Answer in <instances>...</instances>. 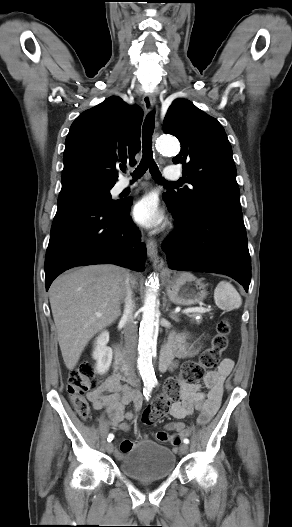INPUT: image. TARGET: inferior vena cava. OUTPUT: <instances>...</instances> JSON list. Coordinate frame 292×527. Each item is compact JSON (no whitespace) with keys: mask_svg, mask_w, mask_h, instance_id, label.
Segmentation results:
<instances>
[{"mask_svg":"<svg viewBox=\"0 0 292 527\" xmlns=\"http://www.w3.org/2000/svg\"><path fill=\"white\" fill-rule=\"evenodd\" d=\"M130 282L131 279L128 275L125 289V305L121 320L124 322V338L127 359L131 369H133L136 362L138 327L134 319L135 301L133 300V292Z\"/></svg>","mask_w":292,"mask_h":527,"instance_id":"inferior-vena-cava-1","label":"inferior vena cava"}]
</instances>
